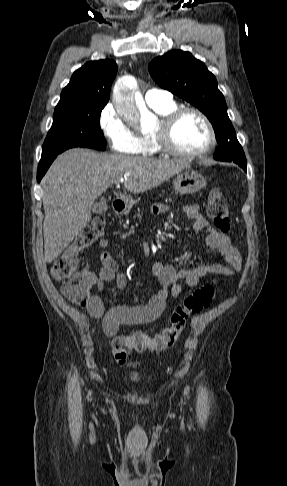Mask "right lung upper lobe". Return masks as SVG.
Returning a JSON list of instances; mask_svg holds the SVG:
<instances>
[{"label": "right lung upper lobe", "instance_id": "cb5924a9", "mask_svg": "<svg viewBox=\"0 0 287 486\" xmlns=\"http://www.w3.org/2000/svg\"><path fill=\"white\" fill-rule=\"evenodd\" d=\"M116 73L117 65L113 60L87 62L73 73L69 84L61 92L57 106L85 102L107 103Z\"/></svg>", "mask_w": 287, "mask_h": 486}]
</instances>
